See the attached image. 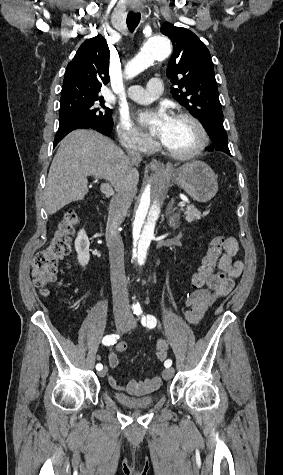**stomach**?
<instances>
[{"mask_svg":"<svg viewBox=\"0 0 283 475\" xmlns=\"http://www.w3.org/2000/svg\"><path fill=\"white\" fill-rule=\"evenodd\" d=\"M165 170L167 172H159V170H153V172L166 178L167 182L177 184L196 202H209L218 192L217 176L212 168L201 160L185 162L180 168L166 166Z\"/></svg>","mask_w":283,"mask_h":475,"instance_id":"1","label":"stomach"}]
</instances>
